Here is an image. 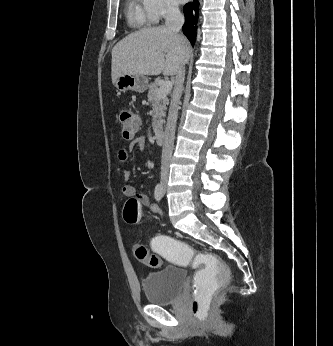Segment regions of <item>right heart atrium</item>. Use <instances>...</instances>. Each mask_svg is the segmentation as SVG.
I'll list each match as a JSON object with an SVG mask.
<instances>
[{
	"label": "right heart atrium",
	"mask_w": 333,
	"mask_h": 346,
	"mask_svg": "<svg viewBox=\"0 0 333 346\" xmlns=\"http://www.w3.org/2000/svg\"><path fill=\"white\" fill-rule=\"evenodd\" d=\"M142 5L151 23H157L179 13L175 0H142Z\"/></svg>",
	"instance_id": "obj_1"
}]
</instances>
